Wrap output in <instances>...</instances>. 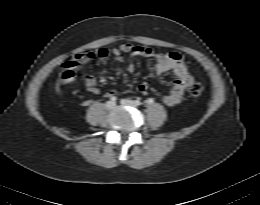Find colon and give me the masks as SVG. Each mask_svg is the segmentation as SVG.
I'll return each instance as SVG.
<instances>
[{
  "instance_id": "5ec220e1",
  "label": "colon",
  "mask_w": 260,
  "mask_h": 205,
  "mask_svg": "<svg viewBox=\"0 0 260 205\" xmlns=\"http://www.w3.org/2000/svg\"><path fill=\"white\" fill-rule=\"evenodd\" d=\"M100 50L94 51L92 53H88L85 56L86 57H100V54H99ZM203 90H204L203 85L201 83H198V82L192 83L190 85L189 89H188L189 93L192 96H199V95H201L203 93Z\"/></svg>"
}]
</instances>
